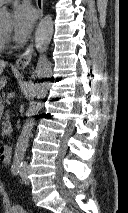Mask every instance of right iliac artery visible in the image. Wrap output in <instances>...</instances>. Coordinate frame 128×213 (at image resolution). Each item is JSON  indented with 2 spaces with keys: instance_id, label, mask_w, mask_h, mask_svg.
<instances>
[{
  "instance_id": "1",
  "label": "right iliac artery",
  "mask_w": 128,
  "mask_h": 213,
  "mask_svg": "<svg viewBox=\"0 0 128 213\" xmlns=\"http://www.w3.org/2000/svg\"><path fill=\"white\" fill-rule=\"evenodd\" d=\"M22 165H13L11 168V172L13 175L17 176L20 173V169H21Z\"/></svg>"
}]
</instances>
